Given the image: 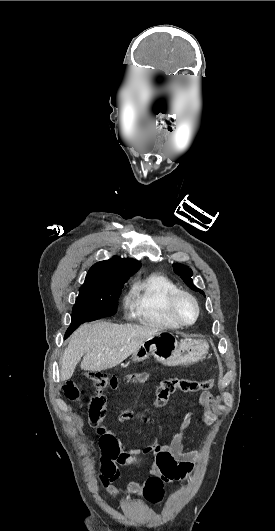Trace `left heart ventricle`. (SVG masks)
<instances>
[{
  "instance_id": "left-heart-ventricle-1",
  "label": "left heart ventricle",
  "mask_w": 275,
  "mask_h": 531,
  "mask_svg": "<svg viewBox=\"0 0 275 531\" xmlns=\"http://www.w3.org/2000/svg\"><path fill=\"white\" fill-rule=\"evenodd\" d=\"M175 310L178 317L186 322H190L196 315V308L194 303L185 296H181L177 299L175 304Z\"/></svg>"
}]
</instances>
